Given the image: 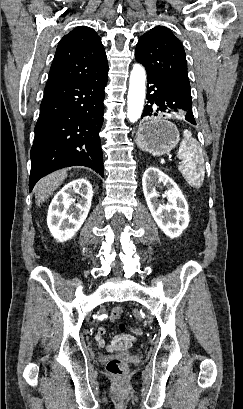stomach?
I'll use <instances>...</instances> for the list:
<instances>
[{
    "instance_id": "0dacf381",
    "label": "stomach",
    "mask_w": 243,
    "mask_h": 409,
    "mask_svg": "<svg viewBox=\"0 0 243 409\" xmlns=\"http://www.w3.org/2000/svg\"><path fill=\"white\" fill-rule=\"evenodd\" d=\"M179 139V131L172 122L163 117H152L140 126L136 143L143 151L160 156L169 153Z\"/></svg>"
}]
</instances>
